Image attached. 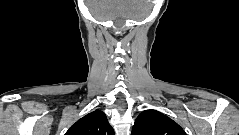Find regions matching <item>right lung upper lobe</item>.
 Instances as JSON below:
<instances>
[{
	"mask_svg": "<svg viewBox=\"0 0 239 135\" xmlns=\"http://www.w3.org/2000/svg\"><path fill=\"white\" fill-rule=\"evenodd\" d=\"M65 135H114L105 113L95 110L73 124Z\"/></svg>",
	"mask_w": 239,
	"mask_h": 135,
	"instance_id": "right-lung-upper-lobe-1",
	"label": "right lung upper lobe"
}]
</instances>
